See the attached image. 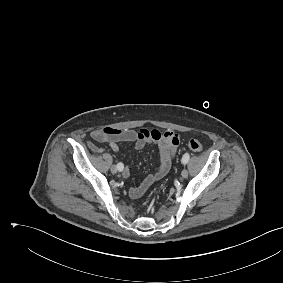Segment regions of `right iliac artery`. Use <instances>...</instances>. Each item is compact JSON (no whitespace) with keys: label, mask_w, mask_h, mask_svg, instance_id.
Segmentation results:
<instances>
[{"label":"right iliac artery","mask_w":283,"mask_h":283,"mask_svg":"<svg viewBox=\"0 0 283 283\" xmlns=\"http://www.w3.org/2000/svg\"><path fill=\"white\" fill-rule=\"evenodd\" d=\"M117 168H118L119 171H122L123 168H124V165L122 163H118Z\"/></svg>","instance_id":"obj_1"}]
</instances>
